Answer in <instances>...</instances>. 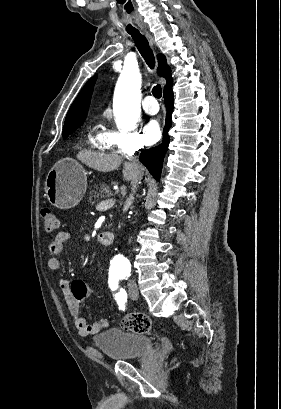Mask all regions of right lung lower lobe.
Masks as SVG:
<instances>
[{
    "instance_id": "1",
    "label": "right lung lower lobe",
    "mask_w": 281,
    "mask_h": 409,
    "mask_svg": "<svg viewBox=\"0 0 281 409\" xmlns=\"http://www.w3.org/2000/svg\"><path fill=\"white\" fill-rule=\"evenodd\" d=\"M164 99L168 112L166 116V124L163 131V142L157 147L142 151L140 154V160L156 179L160 178L163 159L169 143L168 130L170 129L172 123L171 112L173 109L172 88L164 93Z\"/></svg>"
}]
</instances>
